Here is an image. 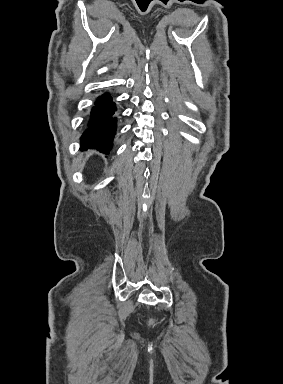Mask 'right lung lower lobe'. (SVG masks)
<instances>
[{
  "label": "right lung lower lobe",
  "mask_w": 283,
  "mask_h": 384,
  "mask_svg": "<svg viewBox=\"0 0 283 384\" xmlns=\"http://www.w3.org/2000/svg\"><path fill=\"white\" fill-rule=\"evenodd\" d=\"M115 111V103L108 93L98 97L91 110L88 128L81 137V150L94 148L102 153L109 152L116 129Z\"/></svg>",
  "instance_id": "obj_1"
}]
</instances>
